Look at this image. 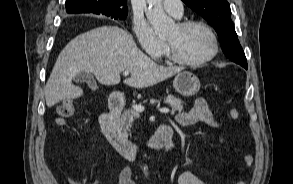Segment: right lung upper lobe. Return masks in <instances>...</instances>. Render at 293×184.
I'll use <instances>...</instances> for the list:
<instances>
[{
	"mask_svg": "<svg viewBox=\"0 0 293 184\" xmlns=\"http://www.w3.org/2000/svg\"><path fill=\"white\" fill-rule=\"evenodd\" d=\"M70 14L94 13L109 16L110 13H127V0H66Z\"/></svg>",
	"mask_w": 293,
	"mask_h": 184,
	"instance_id": "obj_1",
	"label": "right lung upper lobe"
}]
</instances>
